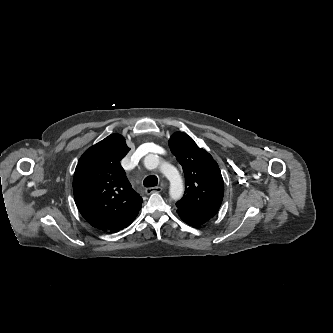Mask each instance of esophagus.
Wrapping results in <instances>:
<instances>
[{
	"label": "esophagus",
	"mask_w": 333,
	"mask_h": 333,
	"mask_svg": "<svg viewBox=\"0 0 333 333\" xmlns=\"http://www.w3.org/2000/svg\"><path fill=\"white\" fill-rule=\"evenodd\" d=\"M162 187H149V188H146L145 192L146 194H152V193H160L162 191Z\"/></svg>",
	"instance_id": "34e87169"
}]
</instances>
